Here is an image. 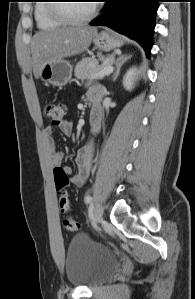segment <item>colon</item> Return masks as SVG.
Returning a JSON list of instances; mask_svg holds the SVG:
<instances>
[{
  "label": "colon",
  "instance_id": "colon-1",
  "mask_svg": "<svg viewBox=\"0 0 195 299\" xmlns=\"http://www.w3.org/2000/svg\"><path fill=\"white\" fill-rule=\"evenodd\" d=\"M67 112V106L64 102H50L47 103L44 108V114L52 125L58 126L63 121ZM53 177L55 182V188L59 195V208L61 212L66 213L70 210V203L66 193V188L68 186V175L65 170L56 166L53 169ZM64 227L70 232L77 231L80 228V223L72 218L67 217L64 219Z\"/></svg>",
  "mask_w": 195,
  "mask_h": 299
}]
</instances>
